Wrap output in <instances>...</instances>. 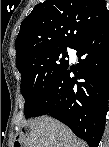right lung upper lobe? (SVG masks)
I'll use <instances>...</instances> for the list:
<instances>
[{"label": "right lung upper lobe", "mask_w": 109, "mask_h": 147, "mask_svg": "<svg viewBox=\"0 0 109 147\" xmlns=\"http://www.w3.org/2000/svg\"><path fill=\"white\" fill-rule=\"evenodd\" d=\"M109 18L105 0H46L22 21L15 41L17 68L40 53L71 47Z\"/></svg>", "instance_id": "1"}]
</instances>
